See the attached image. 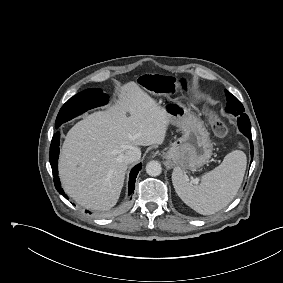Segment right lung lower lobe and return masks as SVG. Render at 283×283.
Segmentation results:
<instances>
[{"mask_svg":"<svg viewBox=\"0 0 283 283\" xmlns=\"http://www.w3.org/2000/svg\"><path fill=\"white\" fill-rule=\"evenodd\" d=\"M59 143H60V133L56 132L53 135L51 146H50V153H49V158H50V164L54 176V184L57 189V191L64 195V191L61 188L60 180L58 177V155H59ZM142 164L136 165L130 173V178H129V195L133 193L134 188H135V179L137 177L138 172L141 170ZM66 197V195H64Z\"/></svg>","mask_w":283,"mask_h":283,"instance_id":"obj_1","label":"right lung lower lobe"}]
</instances>
